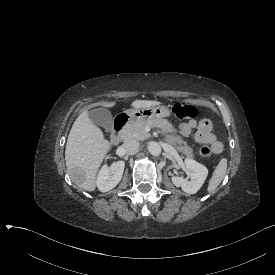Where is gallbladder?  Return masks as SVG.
I'll return each instance as SVG.
<instances>
[{
  "instance_id": "gallbladder-1",
  "label": "gallbladder",
  "mask_w": 275,
  "mask_h": 275,
  "mask_svg": "<svg viewBox=\"0 0 275 275\" xmlns=\"http://www.w3.org/2000/svg\"><path fill=\"white\" fill-rule=\"evenodd\" d=\"M88 117L92 123L105 128L110 131L112 128V115L111 112L105 108H97L88 112Z\"/></svg>"
}]
</instances>
